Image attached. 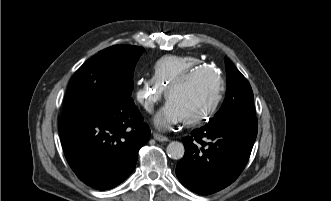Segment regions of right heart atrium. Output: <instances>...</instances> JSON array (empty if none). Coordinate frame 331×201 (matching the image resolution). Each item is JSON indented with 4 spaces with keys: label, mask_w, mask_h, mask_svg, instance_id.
Wrapping results in <instances>:
<instances>
[{
    "label": "right heart atrium",
    "mask_w": 331,
    "mask_h": 201,
    "mask_svg": "<svg viewBox=\"0 0 331 201\" xmlns=\"http://www.w3.org/2000/svg\"><path fill=\"white\" fill-rule=\"evenodd\" d=\"M161 95L162 88L153 78L145 79L138 83L136 98L145 110L152 111Z\"/></svg>",
    "instance_id": "obj_1"
}]
</instances>
